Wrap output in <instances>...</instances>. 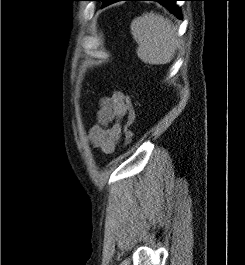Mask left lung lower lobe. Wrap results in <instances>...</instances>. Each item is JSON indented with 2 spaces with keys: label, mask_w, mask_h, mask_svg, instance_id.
<instances>
[{
  "label": "left lung lower lobe",
  "mask_w": 245,
  "mask_h": 265,
  "mask_svg": "<svg viewBox=\"0 0 245 265\" xmlns=\"http://www.w3.org/2000/svg\"><path fill=\"white\" fill-rule=\"evenodd\" d=\"M118 1H157L163 4L164 6H166L178 18L182 17L179 8L175 4L176 1H180V0H105L102 4V8L114 2H118Z\"/></svg>",
  "instance_id": "obj_1"
}]
</instances>
